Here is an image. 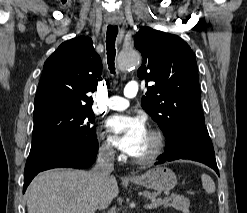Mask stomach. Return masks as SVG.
Returning <instances> with one entry per match:
<instances>
[{
  "instance_id": "0dacf381",
  "label": "stomach",
  "mask_w": 247,
  "mask_h": 213,
  "mask_svg": "<svg viewBox=\"0 0 247 213\" xmlns=\"http://www.w3.org/2000/svg\"><path fill=\"white\" fill-rule=\"evenodd\" d=\"M132 182L158 192H166L176 186L177 178L171 169L157 166L149 169L143 175L132 179Z\"/></svg>"
}]
</instances>
